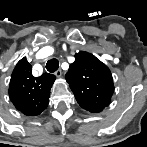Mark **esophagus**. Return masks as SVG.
Returning a JSON list of instances; mask_svg holds the SVG:
<instances>
[{
	"label": "esophagus",
	"mask_w": 147,
	"mask_h": 147,
	"mask_svg": "<svg viewBox=\"0 0 147 147\" xmlns=\"http://www.w3.org/2000/svg\"><path fill=\"white\" fill-rule=\"evenodd\" d=\"M55 75L56 77H60L62 75V70L61 69H58L56 72H55Z\"/></svg>",
	"instance_id": "esophagus-1"
}]
</instances>
